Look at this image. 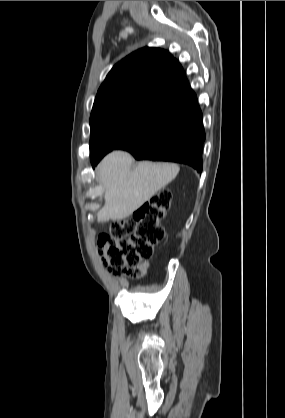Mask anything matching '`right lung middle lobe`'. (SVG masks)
Segmentation results:
<instances>
[{
  "instance_id": "dd1d6c3e",
  "label": "right lung middle lobe",
  "mask_w": 285,
  "mask_h": 418,
  "mask_svg": "<svg viewBox=\"0 0 285 418\" xmlns=\"http://www.w3.org/2000/svg\"><path fill=\"white\" fill-rule=\"evenodd\" d=\"M172 109L142 101H124L91 113L90 158L121 149L159 123Z\"/></svg>"
}]
</instances>
